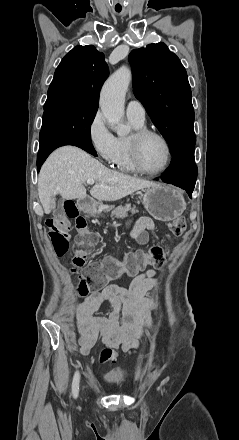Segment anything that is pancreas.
Wrapping results in <instances>:
<instances>
[{
	"mask_svg": "<svg viewBox=\"0 0 239 440\" xmlns=\"http://www.w3.org/2000/svg\"><path fill=\"white\" fill-rule=\"evenodd\" d=\"M128 212L131 214H137L139 210H136L135 206L131 208V204H125V206H117V208H113L111 212V220H115V218H127Z\"/></svg>",
	"mask_w": 239,
	"mask_h": 440,
	"instance_id": "1",
	"label": "pancreas"
}]
</instances>
